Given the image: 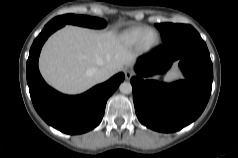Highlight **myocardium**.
<instances>
[{
  "mask_svg": "<svg viewBox=\"0 0 238 158\" xmlns=\"http://www.w3.org/2000/svg\"><path fill=\"white\" fill-rule=\"evenodd\" d=\"M153 32L155 34V39L152 42L147 41V36L149 33ZM159 42V35L156 30L148 28L141 36L139 40V46L142 49L149 50L155 47Z\"/></svg>",
  "mask_w": 238,
  "mask_h": 158,
  "instance_id": "1",
  "label": "myocardium"
}]
</instances>
